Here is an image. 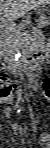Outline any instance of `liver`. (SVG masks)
<instances>
[{"label": "liver", "instance_id": "liver-1", "mask_svg": "<svg viewBox=\"0 0 50 148\" xmlns=\"http://www.w3.org/2000/svg\"><path fill=\"white\" fill-rule=\"evenodd\" d=\"M47 2L48 0H1L2 19L10 22L15 21L28 11Z\"/></svg>", "mask_w": 50, "mask_h": 148}]
</instances>
